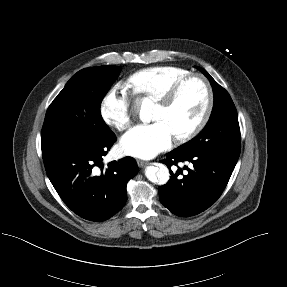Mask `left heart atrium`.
<instances>
[{
  "mask_svg": "<svg viewBox=\"0 0 287 287\" xmlns=\"http://www.w3.org/2000/svg\"><path fill=\"white\" fill-rule=\"evenodd\" d=\"M173 135L162 121L141 124L128 131L120 142L121 149L127 155L150 159L168 149Z\"/></svg>",
  "mask_w": 287,
  "mask_h": 287,
  "instance_id": "left-heart-atrium-1",
  "label": "left heart atrium"
}]
</instances>
